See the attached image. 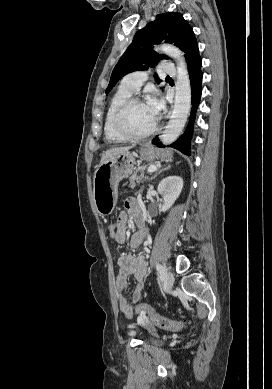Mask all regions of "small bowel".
Masks as SVG:
<instances>
[{
  "label": "small bowel",
  "mask_w": 272,
  "mask_h": 389,
  "mask_svg": "<svg viewBox=\"0 0 272 389\" xmlns=\"http://www.w3.org/2000/svg\"><path fill=\"white\" fill-rule=\"evenodd\" d=\"M137 221L141 218V211L139 204L135 198H128L125 202V209L117 218L118 232L114 240L118 243H124L126 240V231L129 223V218ZM146 231L141 227L135 234L132 235L130 246L134 250H139L145 240ZM119 272L115 281V290L117 295V302L122 314L127 317H133L135 313L134 306L131 305L124 295L127 287L128 278L134 277L137 284L132 294V301L134 304L139 303L141 292L146 287V271L147 265L144 257L139 255H125L118 260Z\"/></svg>",
  "instance_id": "obj_1"
}]
</instances>
